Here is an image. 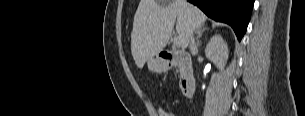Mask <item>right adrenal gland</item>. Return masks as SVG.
Listing matches in <instances>:
<instances>
[{
	"mask_svg": "<svg viewBox=\"0 0 305 116\" xmlns=\"http://www.w3.org/2000/svg\"><path fill=\"white\" fill-rule=\"evenodd\" d=\"M208 28L207 27H199L196 31V47H199L200 45V42H199V38L202 36V33L207 30Z\"/></svg>",
	"mask_w": 305,
	"mask_h": 116,
	"instance_id": "1",
	"label": "right adrenal gland"
}]
</instances>
